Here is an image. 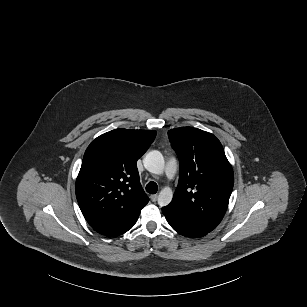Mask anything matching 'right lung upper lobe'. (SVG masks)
<instances>
[{"mask_svg":"<svg viewBox=\"0 0 307 307\" xmlns=\"http://www.w3.org/2000/svg\"><path fill=\"white\" fill-rule=\"evenodd\" d=\"M155 136L154 130L115 129L97 137L86 149L76 180V197L96 232L112 234L148 203L136 161Z\"/></svg>","mask_w":307,"mask_h":307,"instance_id":"1","label":"right lung upper lobe"}]
</instances>
